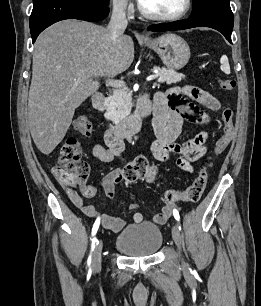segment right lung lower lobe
<instances>
[{"label":"right lung lower lobe","mask_w":261,"mask_h":306,"mask_svg":"<svg viewBox=\"0 0 261 306\" xmlns=\"http://www.w3.org/2000/svg\"><path fill=\"white\" fill-rule=\"evenodd\" d=\"M109 14L108 6L92 0H33L30 33L33 43L48 26L65 19L100 21Z\"/></svg>","instance_id":"1"}]
</instances>
